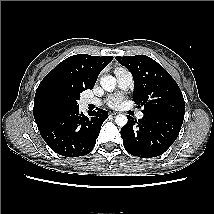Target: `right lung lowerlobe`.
Wrapping results in <instances>:
<instances>
[{
  "label": "right lung lower lobe",
  "instance_id": "1",
  "mask_svg": "<svg viewBox=\"0 0 214 214\" xmlns=\"http://www.w3.org/2000/svg\"><path fill=\"white\" fill-rule=\"evenodd\" d=\"M79 113V107L64 109L52 115L38 126L40 134L48 146L66 157L84 156L92 151L102 123L108 118L105 110Z\"/></svg>",
  "mask_w": 214,
  "mask_h": 214
}]
</instances>
